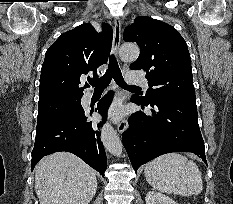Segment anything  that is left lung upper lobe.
<instances>
[{
	"label": "left lung upper lobe",
	"instance_id": "obj_1",
	"mask_svg": "<svg viewBox=\"0 0 233 204\" xmlns=\"http://www.w3.org/2000/svg\"><path fill=\"white\" fill-rule=\"evenodd\" d=\"M123 38L139 45L140 55L130 69L144 70L150 86L145 96L134 98L145 103L159 97L196 99L187 44L174 27L140 16L125 29Z\"/></svg>",
	"mask_w": 233,
	"mask_h": 204
}]
</instances>
